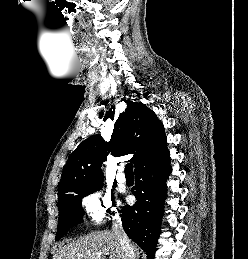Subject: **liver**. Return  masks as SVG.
<instances>
[{
    "label": "liver",
    "mask_w": 248,
    "mask_h": 259,
    "mask_svg": "<svg viewBox=\"0 0 248 259\" xmlns=\"http://www.w3.org/2000/svg\"><path fill=\"white\" fill-rule=\"evenodd\" d=\"M135 256L139 250L132 245ZM124 259V251L113 231L92 232L59 248L53 259Z\"/></svg>",
    "instance_id": "6515ba94"
}]
</instances>
